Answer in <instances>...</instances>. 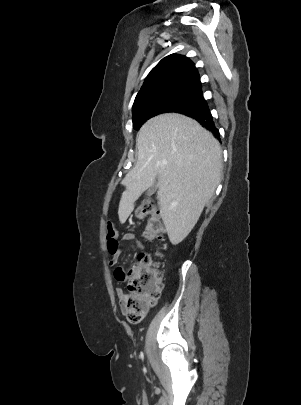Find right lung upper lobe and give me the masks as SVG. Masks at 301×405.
<instances>
[{
	"mask_svg": "<svg viewBox=\"0 0 301 405\" xmlns=\"http://www.w3.org/2000/svg\"><path fill=\"white\" fill-rule=\"evenodd\" d=\"M177 88L202 92L200 77L194 63L185 56L171 54L163 58L151 70L138 92L133 106L147 96Z\"/></svg>",
	"mask_w": 301,
	"mask_h": 405,
	"instance_id": "1",
	"label": "right lung upper lobe"
}]
</instances>
